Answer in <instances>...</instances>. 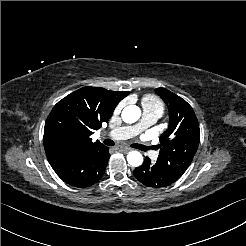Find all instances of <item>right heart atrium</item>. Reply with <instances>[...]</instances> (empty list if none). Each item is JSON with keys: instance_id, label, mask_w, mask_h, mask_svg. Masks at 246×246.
Masks as SVG:
<instances>
[{"instance_id": "obj_1", "label": "right heart atrium", "mask_w": 246, "mask_h": 246, "mask_svg": "<svg viewBox=\"0 0 246 246\" xmlns=\"http://www.w3.org/2000/svg\"><path fill=\"white\" fill-rule=\"evenodd\" d=\"M125 103L126 101H121L120 103H118L116 106H115V112H120L124 106H125Z\"/></svg>"}]
</instances>
